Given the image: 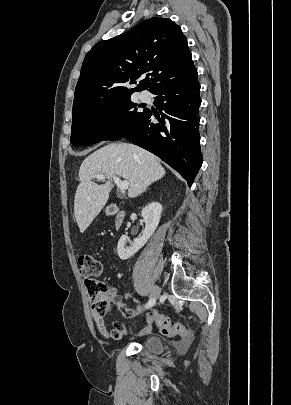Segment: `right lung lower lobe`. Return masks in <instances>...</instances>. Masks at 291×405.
I'll use <instances>...</instances> for the list:
<instances>
[{"mask_svg": "<svg viewBox=\"0 0 291 405\" xmlns=\"http://www.w3.org/2000/svg\"><path fill=\"white\" fill-rule=\"evenodd\" d=\"M200 84L197 72L159 86L152 94L161 117L147 110L123 138L160 157L191 186L202 164L199 135ZM156 118L159 123L152 121Z\"/></svg>", "mask_w": 291, "mask_h": 405, "instance_id": "obj_1", "label": "right lung lower lobe"}]
</instances>
